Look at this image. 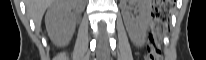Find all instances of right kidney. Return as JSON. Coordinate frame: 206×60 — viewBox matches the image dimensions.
I'll return each instance as SVG.
<instances>
[{"label":"right kidney","mask_w":206,"mask_h":60,"mask_svg":"<svg viewBox=\"0 0 206 60\" xmlns=\"http://www.w3.org/2000/svg\"><path fill=\"white\" fill-rule=\"evenodd\" d=\"M79 8L77 0H57L50 5L45 16L50 38L57 44L68 43L74 32V12Z\"/></svg>","instance_id":"1"}]
</instances>
